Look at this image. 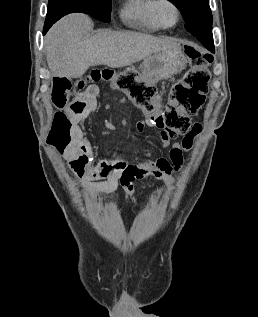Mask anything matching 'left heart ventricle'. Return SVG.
I'll return each instance as SVG.
<instances>
[{
  "instance_id": "b2bd125f",
  "label": "left heart ventricle",
  "mask_w": 258,
  "mask_h": 317,
  "mask_svg": "<svg viewBox=\"0 0 258 317\" xmlns=\"http://www.w3.org/2000/svg\"><path fill=\"white\" fill-rule=\"evenodd\" d=\"M160 17L165 22H172L175 17V12L172 6L166 5L160 10Z\"/></svg>"
}]
</instances>
